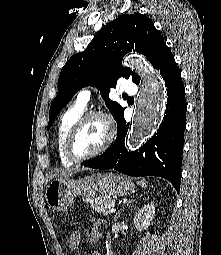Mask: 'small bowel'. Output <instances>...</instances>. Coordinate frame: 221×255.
Here are the masks:
<instances>
[{
	"label": "small bowel",
	"mask_w": 221,
	"mask_h": 255,
	"mask_svg": "<svg viewBox=\"0 0 221 255\" xmlns=\"http://www.w3.org/2000/svg\"><path fill=\"white\" fill-rule=\"evenodd\" d=\"M103 225V220L94 219L92 221V231L90 234V241L96 243L101 238V226ZM81 242V236L78 232L73 233L69 238V246L72 249H76Z\"/></svg>",
	"instance_id": "c3829d8e"
}]
</instances>
